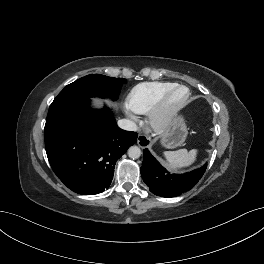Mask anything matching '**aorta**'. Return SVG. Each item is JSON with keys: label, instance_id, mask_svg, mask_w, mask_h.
I'll return each instance as SVG.
<instances>
[{"label": "aorta", "instance_id": "1", "mask_svg": "<svg viewBox=\"0 0 264 264\" xmlns=\"http://www.w3.org/2000/svg\"><path fill=\"white\" fill-rule=\"evenodd\" d=\"M141 155V150L139 147L137 146H131L129 149H128V156L132 159H137L139 158Z\"/></svg>", "mask_w": 264, "mask_h": 264}]
</instances>
